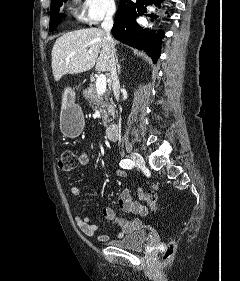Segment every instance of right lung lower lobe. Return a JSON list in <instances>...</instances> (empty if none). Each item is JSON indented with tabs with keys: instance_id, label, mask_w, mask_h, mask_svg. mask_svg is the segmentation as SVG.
<instances>
[{
	"instance_id": "98d812e1",
	"label": "right lung lower lobe",
	"mask_w": 240,
	"mask_h": 281,
	"mask_svg": "<svg viewBox=\"0 0 240 281\" xmlns=\"http://www.w3.org/2000/svg\"><path fill=\"white\" fill-rule=\"evenodd\" d=\"M161 2L162 0H123L119 4L112 28L115 38L139 50L143 49L154 61L160 56V39L163 32H149L140 27L135 19L146 12L147 5H159Z\"/></svg>"
}]
</instances>
